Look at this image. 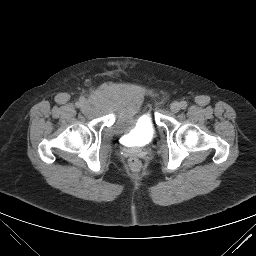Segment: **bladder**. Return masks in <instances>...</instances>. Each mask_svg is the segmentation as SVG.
Segmentation results:
<instances>
[{"instance_id": "31cf9c89", "label": "bladder", "mask_w": 256, "mask_h": 256, "mask_svg": "<svg viewBox=\"0 0 256 256\" xmlns=\"http://www.w3.org/2000/svg\"><path fill=\"white\" fill-rule=\"evenodd\" d=\"M94 102L112 112V128L117 134L128 135L133 143L140 145L155 137L154 119L143 109L144 96L141 92L128 87L100 91L94 96Z\"/></svg>"}]
</instances>
